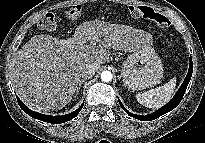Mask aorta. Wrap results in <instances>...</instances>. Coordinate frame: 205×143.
<instances>
[{
	"mask_svg": "<svg viewBox=\"0 0 205 143\" xmlns=\"http://www.w3.org/2000/svg\"><path fill=\"white\" fill-rule=\"evenodd\" d=\"M112 78H113V75L110 71H103L101 73V80L103 82H110L112 80Z\"/></svg>",
	"mask_w": 205,
	"mask_h": 143,
	"instance_id": "762f6f07",
	"label": "aorta"
}]
</instances>
